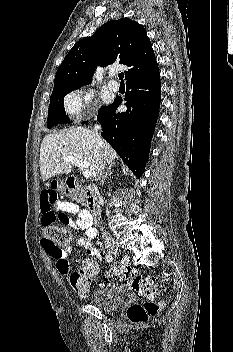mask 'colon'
<instances>
[{"mask_svg": "<svg viewBox=\"0 0 233 352\" xmlns=\"http://www.w3.org/2000/svg\"><path fill=\"white\" fill-rule=\"evenodd\" d=\"M43 227L44 236L48 242L59 248H64L68 244L70 234L65 228L55 225L52 220L44 222ZM98 271V263L92 258H86L81 269L73 272L70 276L72 290L78 296L88 294L91 279ZM107 278L124 282L128 290L136 293L144 300L141 304L136 303L128 307L126 315L131 323H145L150 316L155 315L162 307V303L155 301L162 292V286L153 279L143 277L132 271L130 267L122 264L112 266L107 272Z\"/></svg>", "mask_w": 233, "mask_h": 352, "instance_id": "5ec220e1", "label": "colon"}]
</instances>
